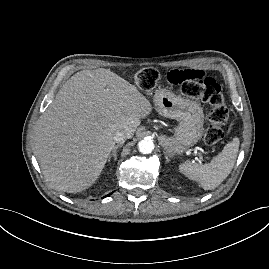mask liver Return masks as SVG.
<instances>
[{
  "mask_svg": "<svg viewBox=\"0 0 269 269\" xmlns=\"http://www.w3.org/2000/svg\"><path fill=\"white\" fill-rule=\"evenodd\" d=\"M150 101L110 69L82 70L63 84L41 116L35 154L57 191L78 193L99 178L114 148L117 130L131 138Z\"/></svg>",
  "mask_w": 269,
  "mask_h": 269,
  "instance_id": "1",
  "label": "liver"
}]
</instances>
